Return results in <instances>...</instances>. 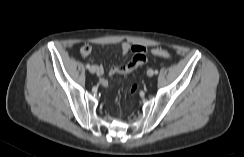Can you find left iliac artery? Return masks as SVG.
Listing matches in <instances>:
<instances>
[{
  "instance_id": "44dca946",
  "label": "left iliac artery",
  "mask_w": 244,
  "mask_h": 157,
  "mask_svg": "<svg viewBox=\"0 0 244 157\" xmlns=\"http://www.w3.org/2000/svg\"><path fill=\"white\" fill-rule=\"evenodd\" d=\"M155 74H158V70H155Z\"/></svg>"
}]
</instances>
